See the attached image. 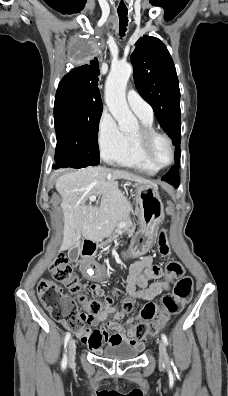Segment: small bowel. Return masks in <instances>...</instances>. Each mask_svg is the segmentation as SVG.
<instances>
[{
    "instance_id": "1",
    "label": "small bowel",
    "mask_w": 228,
    "mask_h": 396,
    "mask_svg": "<svg viewBox=\"0 0 228 396\" xmlns=\"http://www.w3.org/2000/svg\"><path fill=\"white\" fill-rule=\"evenodd\" d=\"M82 271L86 276L99 277L104 273L102 267L93 263H84ZM162 269L160 266L153 264V258L150 255L141 257L133 262L129 268L126 279V293L135 300L149 301L160 296L170 286V282L154 281L161 277ZM91 291L97 296L103 295L100 285L93 283L90 286ZM113 314L114 319L108 322L107 327L102 325L99 329L90 330L83 328L76 332L81 342L91 351L99 352L104 344H114L126 342L139 350L144 348V339L136 337L135 328L130 326L125 329L119 320L126 316L124 310L117 311L108 306L104 312L92 323L103 321L107 315Z\"/></svg>"
}]
</instances>
